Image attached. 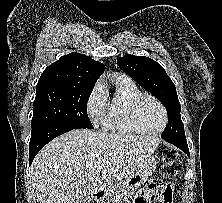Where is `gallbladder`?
Here are the masks:
<instances>
[{
    "label": "gallbladder",
    "instance_id": "gallbladder-1",
    "mask_svg": "<svg viewBox=\"0 0 222 203\" xmlns=\"http://www.w3.org/2000/svg\"><path fill=\"white\" fill-rule=\"evenodd\" d=\"M81 203H90V198L85 197V198L81 201Z\"/></svg>",
    "mask_w": 222,
    "mask_h": 203
}]
</instances>
